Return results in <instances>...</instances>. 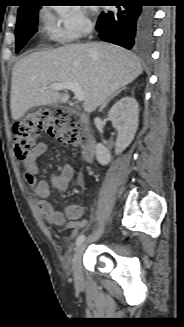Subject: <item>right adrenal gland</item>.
<instances>
[{"mask_svg": "<svg viewBox=\"0 0 184 327\" xmlns=\"http://www.w3.org/2000/svg\"><path fill=\"white\" fill-rule=\"evenodd\" d=\"M126 90V88H122L118 91H116L115 93H113L108 99H106V101L101 105L100 107V112L103 111V109L108 105V103L113 100L116 96H118L122 91Z\"/></svg>", "mask_w": 184, "mask_h": 327, "instance_id": "right-adrenal-gland-1", "label": "right adrenal gland"}]
</instances>
